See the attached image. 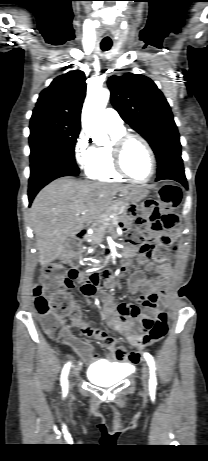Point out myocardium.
I'll use <instances>...</instances> for the list:
<instances>
[{
  "mask_svg": "<svg viewBox=\"0 0 208 461\" xmlns=\"http://www.w3.org/2000/svg\"><path fill=\"white\" fill-rule=\"evenodd\" d=\"M131 140H137L141 142L146 148L149 154V157H150V161H151L150 173L147 176V178L143 180L137 179L133 177L132 175H130L124 166V161H123L124 152H125L126 146ZM111 152H112V160H113L114 168L124 178H127L133 182L141 183V184L147 183L153 178L156 172V166H157L156 157H155V154H154V151L151 145L143 136L136 134V133H124L123 135L119 136L111 143Z\"/></svg>",
  "mask_w": 208,
  "mask_h": 461,
  "instance_id": "1",
  "label": "myocardium"
}]
</instances>
